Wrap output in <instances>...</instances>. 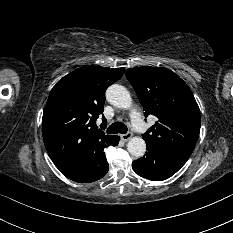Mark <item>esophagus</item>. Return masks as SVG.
Masks as SVG:
<instances>
[{
    "label": "esophagus",
    "mask_w": 233,
    "mask_h": 233,
    "mask_svg": "<svg viewBox=\"0 0 233 233\" xmlns=\"http://www.w3.org/2000/svg\"><path fill=\"white\" fill-rule=\"evenodd\" d=\"M120 137L123 141L126 142V141H129L133 137V134L131 132H128L126 134H122Z\"/></svg>",
    "instance_id": "1"
}]
</instances>
